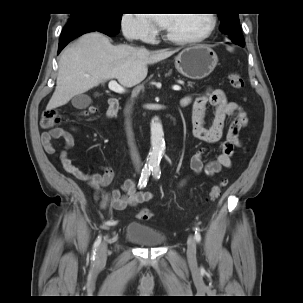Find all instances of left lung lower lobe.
<instances>
[{
    "instance_id": "1",
    "label": "left lung lower lobe",
    "mask_w": 303,
    "mask_h": 303,
    "mask_svg": "<svg viewBox=\"0 0 303 303\" xmlns=\"http://www.w3.org/2000/svg\"><path fill=\"white\" fill-rule=\"evenodd\" d=\"M238 45H240V46L244 47V45H245V44H238Z\"/></svg>"
}]
</instances>
